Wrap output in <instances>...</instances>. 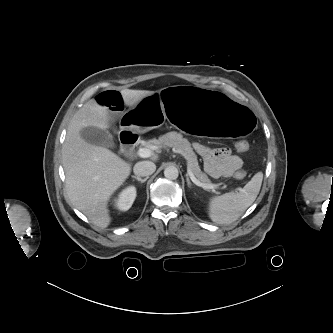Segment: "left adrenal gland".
<instances>
[{
    "mask_svg": "<svg viewBox=\"0 0 333 333\" xmlns=\"http://www.w3.org/2000/svg\"><path fill=\"white\" fill-rule=\"evenodd\" d=\"M187 184H188V186H191V182L188 178H187Z\"/></svg>",
    "mask_w": 333,
    "mask_h": 333,
    "instance_id": "1",
    "label": "left adrenal gland"
}]
</instances>
